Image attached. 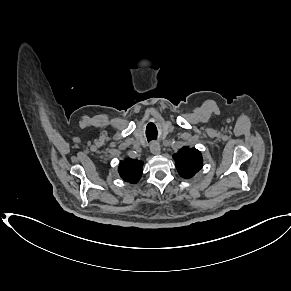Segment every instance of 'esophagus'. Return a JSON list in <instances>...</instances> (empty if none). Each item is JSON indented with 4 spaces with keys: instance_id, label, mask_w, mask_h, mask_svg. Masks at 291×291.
Wrapping results in <instances>:
<instances>
[{
    "instance_id": "obj_1",
    "label": "esophagus",
    "mask_w": 291,
    "mask_h": 291,
    "mask_svg": "<svg viewBox=\"0 0 291 291\" xmlns=\"http://www.w3.org/2000/svg\"><path fill=\"white\" fill-rule=\"evenodd\" d=\"M150 151L154 155H158L161 152V147L158 142H152L150 145Z\"/></svg>"
}]
</instances>
